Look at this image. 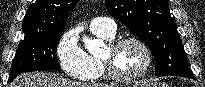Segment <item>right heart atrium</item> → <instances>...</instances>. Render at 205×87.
<instances>
[{"instance_id":"d8ad5b80","label":"right heart atrium","mask_w":205,"mask_h":87,"mask_svg":"<svg viewBox=\"0 0 205 87\" xmlns=\"http://www.w3.org/2000/svg\"><path fill=\"white\" fill-rule=\"evenodd\" d=\"M56 56L60 67L69 77L80 79L90 71L88 54L73 32L61 36L56 45Z\"/></svg>"}]
</instances>
